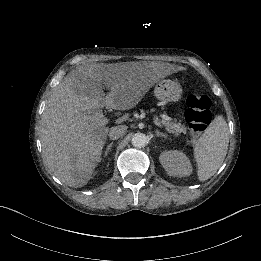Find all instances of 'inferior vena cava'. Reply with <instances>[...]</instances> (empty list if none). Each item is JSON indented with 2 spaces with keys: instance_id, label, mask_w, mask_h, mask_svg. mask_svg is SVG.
Masks as SVG:
<instances>
[{
  "instance_id": "obj_1",
  "label": "inferior vena cava",
  "mask_w": 261,
  "mask_h": 261,
  "mask_svg": "<svg viewBox=\"0 0 261 261\" xmlns=\"http://www.w3.org/2000/svg\"><path fill=\"white\" fill-rule=\"evenodd\" d=\"M126 130L127 126L124 125L112 127L109 131V138L111 140L119 139L125 134Z\"/></svg>"
}]
</instances>
